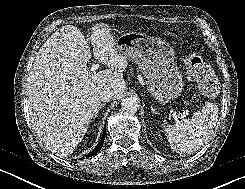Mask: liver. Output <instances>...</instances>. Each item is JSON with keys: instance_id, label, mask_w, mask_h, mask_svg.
<instances>
[{"instance_id": "liver-1", "label": "liver", "mask_w": 245, "mask_h": 189, "mask_svg": "<svg viewBox=\"0 0 245 189\" xmlns=\"http://www.w3.org/2000/svg\"><path fill=\"white\" fill-rule=\"evenodd\" d=\"M94 57L108 69L92 73V51L82 32L65 25L47 39L35 57L27 84L31 123L47 148L69 156L84 137L97 112L100 93L112 90L120 98L126 89L127 58L115 49L105 24L92 27Z\"/></svg>"}]
</instances>
